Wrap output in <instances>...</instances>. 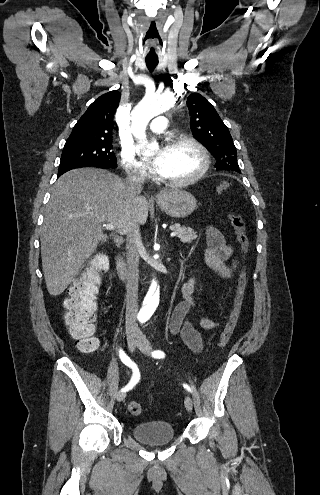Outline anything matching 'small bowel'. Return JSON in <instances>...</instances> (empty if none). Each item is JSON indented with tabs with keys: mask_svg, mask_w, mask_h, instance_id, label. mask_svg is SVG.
I'll return each mask as SVG.
<instances>
[{
	"mask_svg": "<svg viewBox=\"0 0 320 495\" xmlns=\"http://www.w3.org/2000/svg\"><path fill=\"white\" fill-rule=\"evenodd\" d=\"M209 248L205 253L206 265L225 278H231L239 264L234 256L233 246L228 244L222 232L213 225L206 229ZM231 261L230 264H226ZM196 284V273L191 275L182 285L181 301L173 310L169 320V330L172 334H180L188 348L199 353L203 349V340L198 329L213 330L221 327L223 321H217L205 317L193 318L196 309V301L193 292Z\"/></svg>",
	"mask_w": 320,
	"mask_h": 495,
	"instance_id": "small-bowel-1",
	"label": "small bowel"
}]
</instances>
